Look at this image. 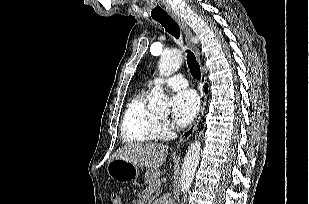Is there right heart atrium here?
Returning a JSON list of instances; mask_svg holds the SVG:
<instances>
[{
    "label": "right heart atrium",
    "mask_w": 309,
    "mask_h": 204,
    "mask_svg": "<svg viewBox=\"0 0 309 204\" xmlns=\"http://www.w3.org/2000/svg\"><path fill=\"white\" fill-rule=\"evenodd\" d=\"M157 134L158 137H169L173 134V126L167 120H159Z\"/></svg>",
    "instance_id": "d8ad5b80"
}]
</instances>
